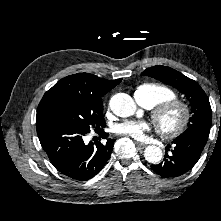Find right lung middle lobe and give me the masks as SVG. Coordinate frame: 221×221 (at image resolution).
Wrapping results in <instances>:
<instances>
[{
  "mask_svg": "<svg viewBox=\"0 0 221 221\" xmlns=\"http://www.w3.org/2000/svg\"><path fill=\"white\" fill-rule=\"evenodd\" d=\"M38 116L51 117L87 133L105 126L102 101L79 96L61 97L38 107Z\"/></svg>",
  "mask_w": 221,
  "mask_h": 221,
  "instance_id": "right-lung-middle-lobe-1",
  "label": "right lung middle lobe"
}]
</instances>
